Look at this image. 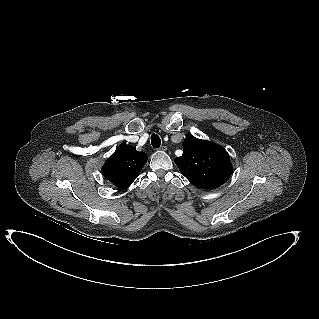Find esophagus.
Listing matches in <instances>:
<instances>
[{"mask_svg": "<svg viewBox=\"0 0 319 319\" xmlns=\"http://www.w3.org/2000/svg\"><path fill=\"white\" fill-rule=\"evenodd\" d=\"M159 150H160V151H166V150H167V147L163 145V146H161V147L159 148Z\"/></svg>", "mask_w": 319, "mask_h": 319, "instance_id": "esophagus-1", "label": "esophagus"}]
</instances>
